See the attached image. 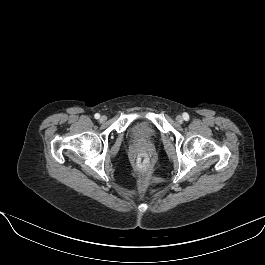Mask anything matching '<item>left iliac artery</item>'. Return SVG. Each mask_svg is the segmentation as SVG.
<instances>
[{"instance_id": "left-iliac-artery-1", "label": "left iliac artery", "mask_w": 265, "mask_h": 265, "mask_svg": "<svg viewBox=\"0 0 265 265\" xmlns=\"http://www.w3.org/2000/svg\"><path fill=\"white\" fill-rule=\"evenodd\" d=\"M183 117H184V119L187 121V120H189V115L187 114V113H184L183 114Z\"/></svg>"}]
</instances>
